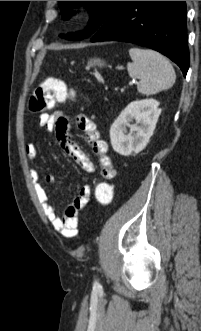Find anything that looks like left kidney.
I'll return each instance as SVG.
<instances>
[{
	"label": "left kidney",
	"mask_w": 201,
	"mask_h": 331,
	"mask_svg": "<svg viewBox=\"0 0 201 331\" xmlns=\"http://www.w3.org/2000/svg\"><path fill=\"white\" fill-rule=\"evenodd\" d=\"M158 106L155 99L133 101L127 105L110 129L111 145L117 153L129 156L146 147L161 114ZM133 120L136 124H130Z\"/></svg>",
	"instance_id": "1"
}]
</instances>
